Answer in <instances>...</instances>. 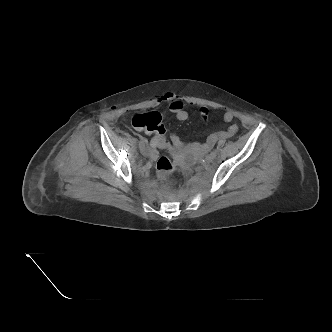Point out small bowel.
I'll use <instances>...</instances> for the list:
<instances>
[{
	"label": "small bowel",
	"mask_w": 332,
	"mask_h": 332,
	"mask_svg": "<svg viewBox=\"0 0 332 332\" xmlns=\"http://www.w3.org/2000/svg\"><path fill=\"white\" fill-rule=\"evenodd\" d=\"M161 101H166L169 103L170 111L175 115L179 121H185L189 117L188 111L185 109L184 101L178 97L176 94L167 92L162 97ZM199 114L202 120L206 121L209 115L207 108L202 107L199 109ZM235 118V115L232 111H225L223 114V120L226 123H231ZM238 126L236 124H231L226 130L220 131L217 133H212L207 136L206 140L203 143H191L185 145L183 141L177 134H171L170 139L174 146L178 148H188L194 152L202 153L211 149L218 139H226L234 136L238 132ZM160 148L155 137L152 138L150 142V147L145 149L144 154L148 155L151 158H156Z\"/></svg>",
	"instance_id": "1"
}]
</instances>
